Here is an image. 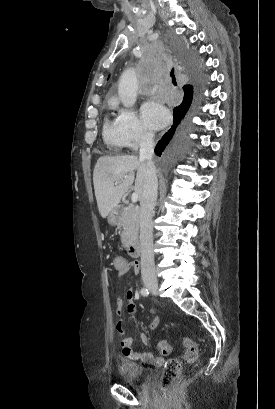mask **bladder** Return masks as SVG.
<instances>
[{
	"label": "bladder",
	"instance_id": "1",
	"mask_svg": "<svg viewBox=\"0 0 275 409\" xmlns=\"http://www.w3.org/2000/svg\"><path fill=\"white\" fill-rule=\"evenodd\" d=\"M116 370L118 379L122 383L137 390L143 389L146 382H152L155 379L153 368H147L132 361H119Z\"/></svg>",
	"mask_w": 275,
	"mask_h": 409
}]
</instances>
